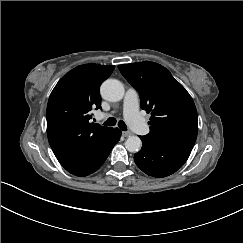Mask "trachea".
<instances>
[{"label":"trachea","instance_id":"1","mask_svg":"<svg viewBox=\"0 0 243 243\" xmlns=\"http://www.w3.org/2000/svg\"><path fill=\"white\" fill-rule=\"evenodd\" d=\"M115 124H116V119L113 118V117L108 118V119L103 123V125H105V126H114ZM118 127H119L121 130H123V131H126V130H127V126H126L125 122L122 121V120H120V121L118 122Z\"/></svg>","mask_w":243,"mask_h":243}]
</instances>
